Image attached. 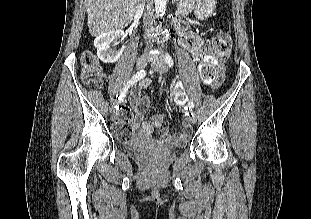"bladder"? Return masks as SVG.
<instances>
[{"instance_id": "bladder-1", "label": "bladder", "mask_w": 311, "mask_h": 219, "mask_svg": "<svg viewBox=\"0 0 311 219\" xmlns=\"http://www.w3.org/2000/svg\"><path fill=\"white\" fill-rule=\"evenodd\" d=\"M182 146H184V143H179L176 145V147H182Z\"/></svg>"}]
</instances>
